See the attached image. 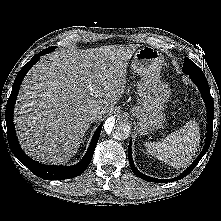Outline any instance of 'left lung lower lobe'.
I'll return each mask as SVG.
<instances>
[{
  "mask_svg": "<svg viewBox=\"0 0 221 221\" xmlns=\"http://www.w3.org/2000/svg\"><path fill=\"white\" fill-rule=\"evenodd\" d=\"M188 75L191 78V80L199 88L201 95L203 97V100L205 101L207 112H208V118H207L208 125H207L205 146H204L202 152L200 153V155L196 158V160L181 175H179L178 177H175L173 179L162 180V179H155V178L146 176L137 170V168L134 165L133 159H132L131 142H130L129 147H128V158H129L131 169L136 176H138L139 178H141L143 180H147V181H151V182H160V183H167V182H171V181H175V180H180V179L184 178L185 176H187L195 168V166L199 163L201 158L204 156V154L209 149V146H210L211 140H212V132H213V118H214L213 98L210 94L209 85H208L207 79L204 74H188Z\"/></svg>",
  "mask_w": 221,
  "mask_h": 221,
  "instance_id": "1",
  "label": "left lung lower lobe"
}]
</instances>
